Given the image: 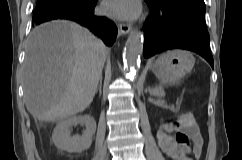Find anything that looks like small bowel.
Here are the masks:
<instances>
[{
    "label": "small bowel",
    "mask_w": 242,
    "mask_h": 160,
    "mask_svg": "<svg viewBox=\"0 0 242 160\" xmlns=\"http://www.w3.org/2000/svg\"><path fill=\"white\" fill-rule=\"evenodd\" d=\"M174 131L173 135L169 132ZM160 146L173 160H192L202 152L203 138L191 113L182 114L178 121L163 126L158 132Z\"/></svg>",
    "instance_id": "obj_1"
}]
</instances>
